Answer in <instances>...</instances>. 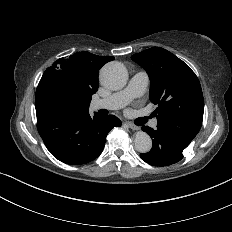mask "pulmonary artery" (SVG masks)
Wrapping results in <instances>:
<instances>
[{
    "label": "pulmonary artery",
    "instance_id": "obj_1",
    "mask_svg": "<svg viewBox=\"0 0 232 232\" xmlns=\"http://www.w3.org/2000/svg\"><path fill=\"white\" fill-rule=\"evenodd\" d=\"M146 90L145 77L141 73H134L130 77V86L118 94H108L104 99L95 98L92 101V108L119 109L127 108L131 103L143 97ZM152 126L157 125V120L152 121Z\"/></svg>",
    "mask_w": 232,
    "mask_h": 232
}]
</instances>
